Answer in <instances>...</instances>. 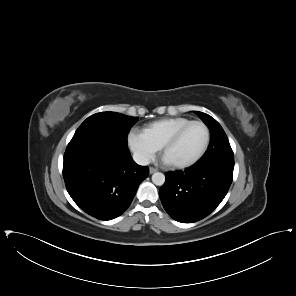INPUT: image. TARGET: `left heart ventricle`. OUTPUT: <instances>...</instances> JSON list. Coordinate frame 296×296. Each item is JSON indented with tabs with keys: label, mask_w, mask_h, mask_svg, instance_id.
I'll use <instances>...</instances> for the list:
<instances>
[{
	"label": "left heart ventricle",
	"mask_w": 296,
	"mask_h": 296,
	"mask_svg": "<svg viewBox=\"0 0 296 296\" xmlns=\"http://www.w3.org/2000/svg\"><path fill=\"white\" fill-rule=\"evenodd\" d=\"M205 141V131L200 125L188 127L169 147L164 158L169 163H177L193 158L202 148Z\"/></svg>",
	"instance_id": "left-heart-ventricle-1"
}]
</instances>
